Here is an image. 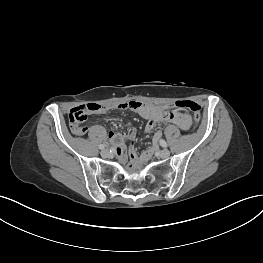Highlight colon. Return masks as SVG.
Masks as SVG:
<instances>
[{
  "label": "colon",
  "instance_id": "1",
  "mask_svg": "<svg viewBox=\"0 0 263 263\" xmlns=\"http://www.w3.org/2000/svg\"><path fill=\"white\" fill-rule=\"evenodd\" d=\"M176 107L190 111L195 122L200 119L201 106L197 102L191 100L178 101ZM101 108L102 106L96 103L73 108L68 115L70 127L73 133L76 135H83L86 132V128L81 126V123L86 119L88 113L97 111Z\"/></svg>",
  "mask_w": 263,
  "mask_h": 263
}]
</instances>
